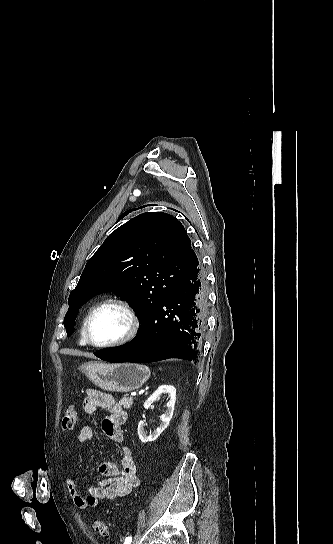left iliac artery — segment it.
<instances>
[{
  "instance_id": "44dca946",
  "label": "left iliac artery",
  "mask_w": 333,
  "mask_h": 544,
  "mask_svg": "<svg viewBox=\"0 0 333 544\" xmlns=\"http://www.w3.org/2000/svg\"><path fill=\"white\" fill-rule=\"evenodd\" d=\"M131 542H132V537L128 536V537H126V539L124 541V544H131Z\"/></svg>"
}]
</instances>
